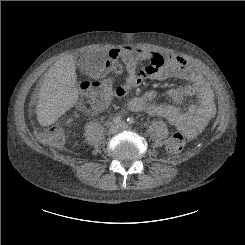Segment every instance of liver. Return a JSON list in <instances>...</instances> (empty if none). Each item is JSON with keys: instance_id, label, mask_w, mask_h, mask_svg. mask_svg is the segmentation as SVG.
<instances>
[{"instance_id": "liver-1", "label": "liver", "mask_w": 245, "mask_h": 245, "mask_svg": "<svg viewBox=\"0 0 245 245\" xmlns=\"http://www.w3.org/2000/svg\"><path fill=\"white\" fill-rule=\"evenodd\" d=\"M75 85V60L66 55L49 68L42 82L36 110L41 126L52 125L74 106L78 99Z\"/></svg>"}]
</instances>
